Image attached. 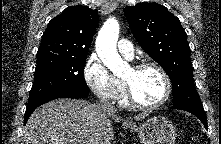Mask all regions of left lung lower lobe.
Wrapping results in <instances>:
<instances>
[{"label":"left lung lower lobe","instance_id":"obj_1","mask_svg":"<svg viewBox=\"0 0 221 144\" xmlns=\"http://www.w3.org/2000/svg\"><path fill=\"white\" fill-rule=\"evenodd\" d=\"M173 108L185 110L187 112H190V113L196 115L201 120V122L204 124L205 128H208L204 109H196V108H191V107H174V106H173Z\"/></svg>","mask_w":221,"mask_h":144}]
</instances>
